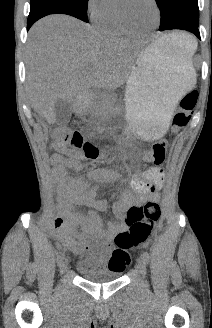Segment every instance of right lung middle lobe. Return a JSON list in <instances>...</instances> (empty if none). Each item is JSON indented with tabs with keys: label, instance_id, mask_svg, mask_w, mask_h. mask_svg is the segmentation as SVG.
<instances>
[{
	"label": "right lung middle lobe",
	"instance_id": "right-lung-middle-lobe-1",
	"mask_svg": "<svg viewBox=\"0 0 212 328\" xmlns=\"http://www.w3.org/2000/svg\"><path fill=\"white\" fill-rule=\"evenodd\" d=\"M42 1L66 3L72 7H75L80 12H82L85 16H87L86 7L88 5V0H31L30 4L32 5Z\"/></svg>",
	"mask_w": 212,
	"mask_h": 328
}]
</instances>
